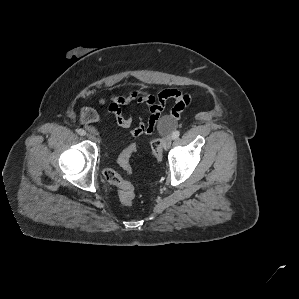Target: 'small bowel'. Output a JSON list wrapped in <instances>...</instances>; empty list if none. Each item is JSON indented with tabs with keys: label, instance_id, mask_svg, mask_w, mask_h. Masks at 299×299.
Masks as SVG:
<instances>
[{
	"label": "small bowel",
	"instance_id": "c3829d8e",
	"mask_svg": "<svg viewBox=\"0 0 299 299\" xmlns=\"http://www.w3.org/2000/svg\"><path fill=\"white\" fill-rule=\"evenodd\" d=\"M168 101L174 102L169 118L173 121H177L181 117V114L190 106L191 97L176 89H166L157 95L135 89L125 95H111L107 110L108 113L115 118L118 126L129 129L133 137H140L142 135H149L154 131ZM97 102L99 105L106 104V100L103 98L98 99ZM139 104H144L147 107L149 116L146 122L139 121L134 125L132 116L125 115L122 108L134 107ZM80 116L82 122L91 132L95 131L93 127L94 124L103 122L102 116L91 107L83 108Z\"/></svg>",
	"mask_w": 299,
	"mask_h": 299
}]
</instances>
